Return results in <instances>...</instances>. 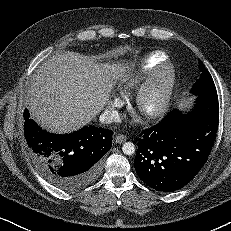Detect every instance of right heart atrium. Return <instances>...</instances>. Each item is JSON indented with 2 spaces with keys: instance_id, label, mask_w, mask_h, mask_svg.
<instances>
[{
  "instance_id": "1",
  "label": "right heart atrium",
  "mask_w": 231,
  "mask_h": 231,
  "mask_svg": "<svg viewBox=\"0 0 231 231\" xmlns=\"http://www.w3.org/2000/svg\"><path fill=\"white\" fill-rule=\"evenodd\" d=\"M111 104L113 107H117V106H120L121 105V99L117 96H114L112 99H111Z\"/></svg>"
}]
</instances>
